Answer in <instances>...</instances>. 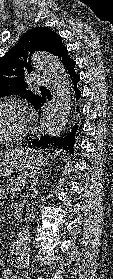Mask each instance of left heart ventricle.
I'll list each match as a JSON object with an SVG mask.
<instances>
[{"instance_id": "obj_1", "label": "left heart ventricle", "mask_w": 113, "mask_h": 279, "mask_svg": "<svg viewBox=\"0 0 113 279\" xmlns=\"http://www.w3.org/2000/svg\"><path fill=\"white\" fill-rule=\"evenodd\" d=\"M25 114L12 105L0 106V138L20 134L25 126Z\"/></svg>"}]
</instances>
